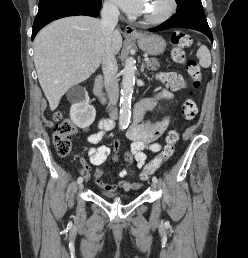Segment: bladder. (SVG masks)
<instances>
[{"instance_id":"31cf9c89","label":"bladder","mask_w":248,"mask_h":258,"mask_svg":"<svg viewBox=\"0 0 248 258\" xmlns=\"http://www.w3.org/2000/svg\"><path fill=\"white\" fill-rule=\"evenodd\" d=\"M104 196L109 197V198H119V197H124L123 195L116 193V192H104Z\"/></svg>"}]
</instances>
